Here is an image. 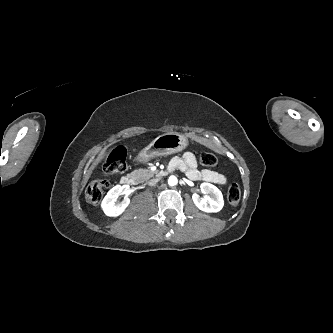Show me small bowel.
Here are the masks:
<instances>
[{"mask_svg":"<svg viewBox=\"0 0 333 333\" xmlns=\"http://www.w3.org/2000/svg\"><path fill=\"white\" fill-rule=\"evenodd\" d=\"M169 165L184 171L191 180L217 185H224L227 182L226 176L220 173L208 169L199 170L195 155L190 151H186L182 157H174Z\"/></svg>","mask_w":333,"mask_h":333,"instance_id":"small-bowel-1","label":"small bowel"}]
</instances>
